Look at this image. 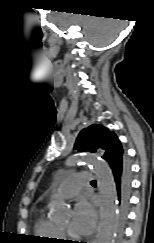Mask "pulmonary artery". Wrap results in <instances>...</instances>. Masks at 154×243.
<instances>
[{"instance_id": "obj_1", "label": "pulmonary artery", "mask_w": 154, "mask_h": 243, "mask_svg": "<svg viewBox=\"0 0 154 243\" xmlns=\"http://www.w3.org/2000/svg\"><path fill=\"white\" fill-rule=\"evenodd\" d=\"M93 179V173L89 171H80L72 174L59 186L60 192L63 197H74L83 187L84 184Z\"/></svg>"}]
</instances>
